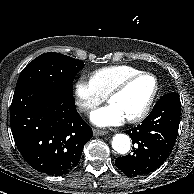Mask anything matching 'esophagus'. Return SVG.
<instances>
[{
	"mask_svg": "<svg viewBox=\"0 0 194 194\" xmlns=\"http://www.w3.org/2000/svg\"><path fill=\"white\" fill-rule=\"evenodd\" d=\"M108 132L106 130H99V129H94L93 134L95 136H103L106 135Z\"/></svg>",
	"mask_w": 194,
	"mask_h": 194,
	"instance_id": "1",
	"label": "esophagus"
}]
</instances>
